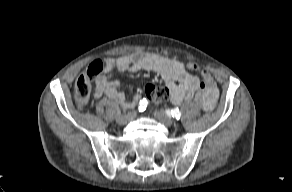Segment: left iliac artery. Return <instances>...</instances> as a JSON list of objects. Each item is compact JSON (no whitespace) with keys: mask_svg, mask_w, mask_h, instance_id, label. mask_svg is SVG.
I'll return each mask as SVG.
<instances>
[{"mask_svg":"<svg viewBox=\"0 0 292 192\" xmlns=\"http://www.w3.org/2000/svg\"><path fill=\"white\" fill-rule=\"evenodd\" d=\"M166 112L169 116H172L173 118H176L177 120L180 119L181 117V112L178 109H172L171 111L167 110Z\"/></svg>","mask_w":292,"mask_h":192,"instance_id":"left-iliac-artery-1","label":"left iliac artery"}]
</instances>
